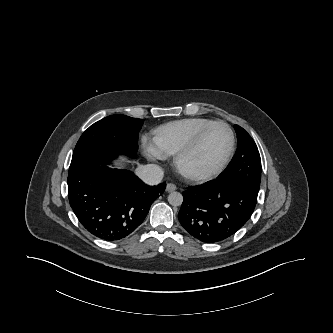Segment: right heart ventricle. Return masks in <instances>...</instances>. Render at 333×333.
<instances>
[{
  "label": "right heart ventricle",
  "mask_w": 333,
  "mask_h": 333,
  "mask_svg": "<svg viewBox=\"0 0 333 333\" xmlns=\"http://www.w3.org/2000/svg\"><path fill=\"white\" fill-rule=\"evenodd\" d=\"M214 122L204 117L186 118L159 126L154 131V146L164 155H176L200 130Z\"/></svg>",
  "instance_id": "right-heart-ventricle-1"
}]
</instances>
